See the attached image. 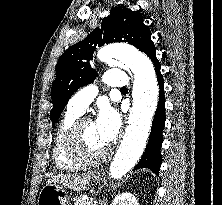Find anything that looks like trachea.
I'll use <instances>...</instances> for the list:
<instances>
[{"mask_svg": "<svg viewBox=\"0 0 222 205\" xmlns=\"http://www.w3.org/2000/svg\"><path fill=\"white\" fill-rule=\"evenodd\" d=\"M120 90H127V88H126V87H123V88H121Z\"/></svg>", "mask_w": 222, "mask_h": 205, "instance_id": "trachea-1", "label": "trachea"}]
</instances>
